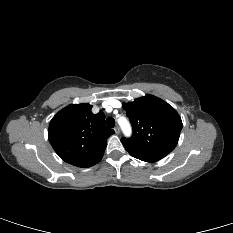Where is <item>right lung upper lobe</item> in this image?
<instances>
[{
    "label": "right lung upper lobe",
    "mask_w": 233,
    "mask_h": 233,
    "mask_svg": "<svg viewBox=\"0 0 233 233\" xmlns=\"http://www.w3.org/2000/svg\"><path fill=\"white\" fill-rule=\"evenodd\" d=\"M88 103L71 104L60 110L51 120L49 141L65 162L77 167H91L98 163L107 146V138L114 134L105 126L102 112L93 114Z\"/></svg>",
    "instance_id": "right-lung-upper-lobe-1"
}]
</instances>
